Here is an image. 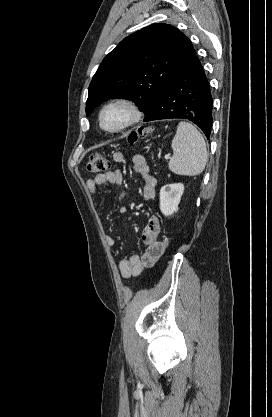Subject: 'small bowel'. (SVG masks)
Masks as SVG:
<instances>
[{
  "mask_svg": "<svg viewBox=\"0 0 272 417\" xmlns=\"http://www.w3.org/2000/svg\"><path fill=\"white\" fill-rule=\"evenodd\" d=\"M117 163L125 161V155L122 152H115L113 155ZM134 171L141 177L143 181L142 195L145 199H152L156 193L157 180L153 176L145 158L142 155H135L132 158ZM123 182L122 173L119 170L98 174L86 182V187L91 194H96L98 188L102 185L115 184L121 186ZM123 196L120 191L119 198ZM125 208H121L124 213ZM161 231V222L156 215L148 218L146 226L142 231V241L146 245V249L142 255L132 254L122 259L118 264V269L124 278L137 276L146 268L152 267L164 250L158 240ZM106 242L109 246H114L116 241L112 236H106Z\"/></svg>",
  "mask_w": 272,
  "mask_h": 417,
  "instance_id": "c3829d8e",
  "label": "small bowel"
}]
</instances>
